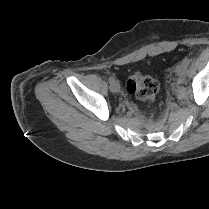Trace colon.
I'll return each mask as SVG.
<instances>
[{"instance_id":"5ec220e1","label":"colon","mask_w":209,"mask_h":209,"mask_svg":"<svg viewBox=\"0 0 209 209\" xmlns=\"http://www.w3.org/2000/svg\"><path fill=\"white\" fill-rule=\"evenodd\" d=\"M126 87L137 99L153 101L159 90V82L153 77L136 72L129 76Z\"/></svg>"}]
</instances>
